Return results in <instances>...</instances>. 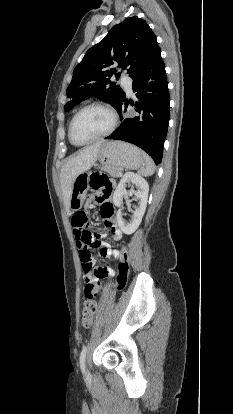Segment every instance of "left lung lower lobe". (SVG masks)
Wrapping results in <instances>:
<instances>
[{
    "label": "left lung lower lobe",
    "instance_id": "0a47b994",
    "mask_svg": "<svg viewBox=\"0 0 233 414\" xmlns=\"http://www.w3.org/2000/svg\"><path fill=\"white\" fill-rule=\"evenodd\" d=\"M132 78L137 101H130V105L135 107L137 115L132 118L122 117V112H126L128 106V101L124 98L116 109L121 124L106 139L132 143L148 153L155 164L159 165L170 115L168 82L161 51Z\"/></svg>",
    "mask_w": 233,
    "mask_h": 414
}]
</instances>
